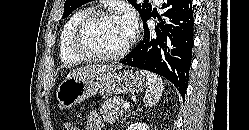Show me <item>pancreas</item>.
<instances>
[{
    "label": "pancreas",
    "instance_id": "1",
    "mask_svg": "<svg viewBox=\"0 0 249 130\" xmlns=\"http://www.w3.org/2000/svg\"><path fill=\"white\" fill-rule=\"evenodd\" d=\"M123 102L124 100L119 97L110 98L104 102L99 110L104 122L113 124L118 120L119 116L124 113V110L121 108Z\"/></svg>",
    "mask_w": 249,
    "mask_h": 130
}]
</instances>
